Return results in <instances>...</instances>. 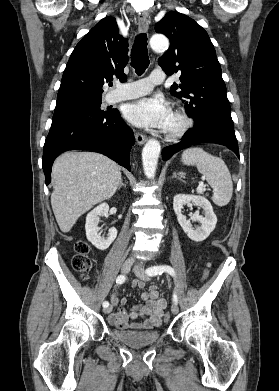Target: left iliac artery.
<instances>
[{
    "label": "left iliac artery",
    "mask_w": 279,
    "mask_h": 391,
    "mask_svg": "<svg viewBox=\"0 0 279 391\" xmlns=\"http://www.w3.org/2000/svg\"><path fill=\"white\" fill-rule=\"evenodd\" d=\"M163 272H167L168 274L174 276L175 271L171 266L168 265H162V266H153L146 270V273L149 276H156V275H162ZM173 301L177 303V295L173 294Z\"/></svg>",
    "instance_id": "obj_1"
}]
</instances>
